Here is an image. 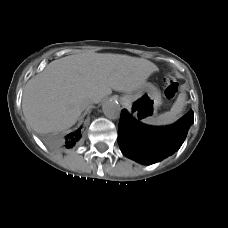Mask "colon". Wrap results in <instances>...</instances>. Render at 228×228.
<instances>
[{"instance_id":"5ec220e1","label":"colon","mask_w":228,"mask_h":228,"mask_svg":"<svg viewBox=\"0 0 228 228\" xmlns=\"http://www.w3.org/2000/svg\"><path fill=\"white\" fill-rule=\"evenodd\" d=\"M165 82V96L168 99H173L178 93V84L171 75H167L164 79Z\"/></svg>"}]
</instances>
